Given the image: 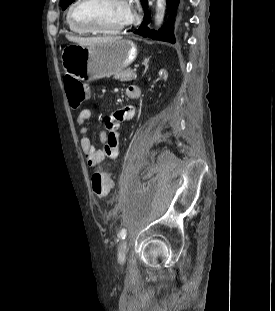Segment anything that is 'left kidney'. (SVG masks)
Wrapping results in <instances>:
<instances>
[{"mask_svg":"<svg viewBox=\"0 0 275 311\" xmlns=\"http://www.w3.org/2000/svg\"><path fill=\"white\" fill-rule=\"evenodd\" d=\"M167 77H168V74H167V72L164 69L159 71V74H158V79L159 80H166ZM155 86L158 87L159 85L156 84Z\"/></svg>","mask_w":275,"mask_h":311,"instance_id":"obj_1","label":"left kidney"}]
</instances>
